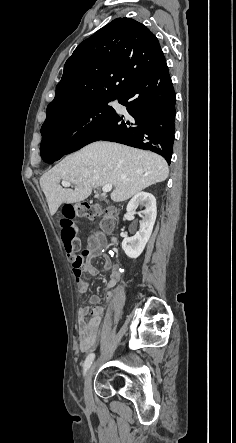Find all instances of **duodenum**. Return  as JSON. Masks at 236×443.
Listing matches in <instances>:
<instances>
[{
    "instance_id": "410a0bca",
    "label": "duodenum",
    "mask_w": 236,
    "mask_h": 443,
    "mask_svg": "<svg viewBox=\"0 0 236 443\" xmlns=\"http://www.w3.org/2000/svg\"><path fill=\"white\" fill-rule=\"evenodd\" d=\"M112 244H113V245H115V244H116V241H115V239H112Z\"/></svg>"
}]
</instances>
